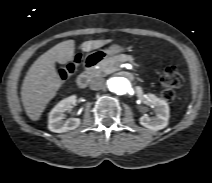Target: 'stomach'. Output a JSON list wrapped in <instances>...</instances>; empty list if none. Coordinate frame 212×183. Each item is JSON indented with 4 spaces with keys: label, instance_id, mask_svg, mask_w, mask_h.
Segmentation results:
<instances>
[{
    "label": "stomach",
    "instance_id": "stomach-1",
    "mask_svg": "<svg viewBox=\"0 0 212 183\" xmlns=\"http://www.w3.org/2000/svg\"><path fill=\"white\" fill-rule=\"evenodd\" d=\"M123 50H124V47L114 44L108 47L106 50H104L103 54L105 56H111V55L119 54Z\"/></svg>",
    "mask_w": 212,
    "mask_h": 183
}]
</instances>
